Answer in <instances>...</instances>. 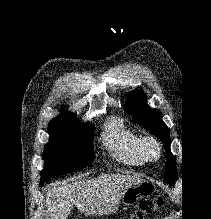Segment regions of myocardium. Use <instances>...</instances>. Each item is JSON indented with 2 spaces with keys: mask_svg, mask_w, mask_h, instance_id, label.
Instances as JSON below:
<instances>
[{
  "mask_svg": "<svg viewBox=\"0 0 211 219\" xmlns=\"http://www.w3.org/2000/svg\"><path fill=\"white\" fill-rule=\"evenodd\" d=\"M140 151L146 161H158L162 155V145L153 135H146L140 140Z\"/></svg>",
  "mask_w": 211,
  "mask_h": 219,
  "instance_id": "myocardium-1",
  "label": "myocardium"
}]
</instances>
